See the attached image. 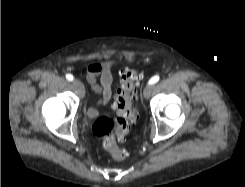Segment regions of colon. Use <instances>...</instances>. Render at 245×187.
<instances>
[{
    "instance_id": "colon-1",
    "label": "colon",
    "mask_w": 245,
    "mask_h": 187,
    "mask_svg": "<svg viewBox=\"0 0 245 187\" xmlns=\"http://www.w3.org/2000/svg\"><path fill=\"white\" fill-rule=\"evenodd\" d=\"M141 73L135 69H125L120 76V82L112 104L114 117L99 116L93 123L92 130L100 138L106 150L116 159H124L127 152L117 145V140H124L128 135L137 113L134 107L136 99L135 86L141 78Z\"/></svg>"
}]
</instances>
